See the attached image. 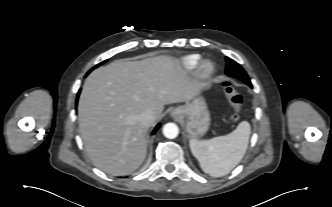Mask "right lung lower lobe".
Returning <instances> with one entry per match:
<instances>
[{
  "label": "right lung lower lobe",
  "mask_w": 332,
  "mask_h": 207,
  "mask_svg": "<svg viewBox=\"0 0 332 207\" xmlns=\"http://www.w3.org/2000/svg\"><path fill=\"white\" fill-rule=\"evenodd\" d=\"M79 95V94H78ZM159 127H160V124H158L157 126H156V128L154 129V131H153V133H155L158 129H159Z\"/></svg>",
  "instance_id": "1"
}]
</instances>
